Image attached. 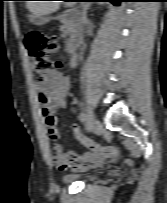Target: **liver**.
<instances>
[{
	"instance_id": "1",
	"label": "liver",
	"mask_w": 167,
	"mask_h": 203,
	"mask_svg": "<svg viewBox=\"0 0 167 203\" xmlns=\"http://www.w3.org/2000/svg\"><path fill=\"white\" fill-rule=\"evenodd\" d=\"M29 11L38 16H43L56 11L59 6V1H27L26 4Z\"/></svg>"
}]
</instances>
